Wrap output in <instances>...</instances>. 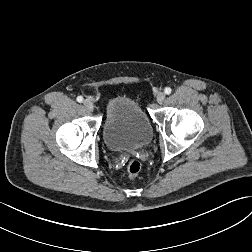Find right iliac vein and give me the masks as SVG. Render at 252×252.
I'll use <instances>...</instances> for the list:
<instances>
[{"label": "right iliac vein", "mask_w": 252, "mask_h": 252, "mask_svg": "<svg viewBox=\"0 0 252 252\" xmlns=\"http://www.w3.org/2000/svg\"><path fill=\"white\" fill-rule=\"evenodd\" d=\"M83 104H84L85 108L89 111H92L94 108L92 101L89 99L84 100Z\"/></svg>", "instance_id": "right-iliac-vein-1"}]
</instances>
